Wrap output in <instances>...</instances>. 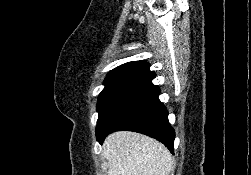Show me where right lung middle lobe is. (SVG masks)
<instances>
[{
  "mask_svg": "<svg viewBox=\"0 0 251 175\" xmlns=\"http://www.w3.org/2000/svg\"><path fill=\"white\" fill-rule=\"evenodd\" d=\"M137 82L131 77H115L106 78L104 80V89L99 95L97 103V111L99 113L97 127L103 119L110 105L130 86Z\"/></svg>",
  "mask_w": 251,
  "mask_h": 175,
  "instance_id": "right-lung-middle-lobe-1",
  "label": "right lung middle lobe"
}]
</instances>
